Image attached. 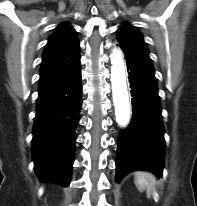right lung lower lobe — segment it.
<instances>
[{"mask_svg": "<svg viewBox=\"0 0 197 206\" xmlns=\"http://www.w3.org/2000/svg\"><path fill=\"white\" fill-rule=\"evenodd\" d=\"M79 60L66 74L39 89L32 152L41 182L64 186L70 180L82 95Z\"/></svg>", "mask_w": 197, "mask_h": 206, "instance_id": "1", "label": "right lung lower lobe"}]
</instances>
